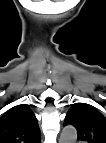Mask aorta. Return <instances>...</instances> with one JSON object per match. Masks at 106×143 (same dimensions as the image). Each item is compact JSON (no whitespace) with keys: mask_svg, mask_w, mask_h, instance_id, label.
I'll return each instance as SVG.
<instances>
[{"mask_svg":"<svg viewBox=\"0 0 106 143\" xmlns=\"http://www.w3.org/2000/svg\"><path fill=\"white\" fill-rule=\"evenodd\" d=\"M77 140V131L75 127L65 126L60 135L59 143H75Z\"/></svg>","mask_w":106,"mask_h":143,"instance_id":"1","label":"aorta"}]
</instances>
